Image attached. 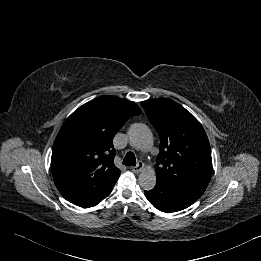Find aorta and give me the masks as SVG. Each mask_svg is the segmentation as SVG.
Instances as JSON below:
<instances>
[{
    "label": "aorta",
    "instance_id": "obj_1",
    "mask_svg": "<svg viewBox=\"0 0 261 261\" xmlns=\"http://www.w3.org/2000/svg\"><path fill=\"white\" fill-rule=\"evenodd\" d=\"M130 144L141 151L148 150L153 144L151 130L141 123L133 124L128 132ZM139 185L144 190H151L156 184V173L153 168L145 167L140 171L138 178Z\"/></svg>",
    "mask_w": 261,
    "mask_h": 261
}]
</instances>
